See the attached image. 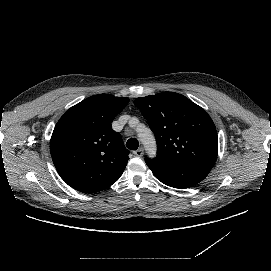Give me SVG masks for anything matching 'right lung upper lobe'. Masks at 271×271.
I'll use <instances>...</instances> for the list:
<instances>
[{
  "mask_svg": "<svg viewBox=\"0 0 271 271\" xmlns=\"http://www.w3.org/2000/svg\"><path fill=\"white\" fill-rule=\"evenodd\" d=\"M129 99L91 96L71 107L57 122L50 152L57 172L72 188L96 193L122 175L129 151L111 123Z\"/></svg>",
  "mask_w": 271,
  "mask_h": 271,
  "instance_id": "obj_1",
  "label": "right lung upper lobe"
}]
</instances>
